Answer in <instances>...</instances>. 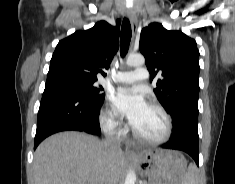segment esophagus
Instances as JSON below:
<instances>
[{"instance_id": "obj_1", "label": "esophagus", "mask_w": 235, "mask_h": 184, "mask_svg": "<svg viewBox=\"0 0 235 184\" xmlns=\"http://www.w3.org/2000/svg\"><path fill=\"white\" fill-rule=\"evenodd\" d=\"M130 22H131V29H132V37H133V41H132V47L134 46V42H135V37L137 35V28H138V21H137V17L135 12H131L130 13ZM136 153L135 151L131 148V146H126L125 147V156H135Z\"/></svg>"}]
</instances>
